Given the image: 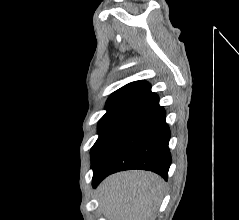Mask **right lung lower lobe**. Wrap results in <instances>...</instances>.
<instances>
[{
  "mask_svg": "<svg viewBox=\"0 0 239 220\" xmlns=\"http://www.w3.org/2000/svg\"><path fill=\"white\" fill-rule=\"evenodd\" d=\"M165 118L155 93L133 105L93 168V186L112 173L129 169L150 170L166 179L171 155Z\"/></svg>",
  "mask_w": 239,
  "mask_h": 220,
  "instance_id": "1",
  "label": "right lung lower lobe"
}]
</instances>
